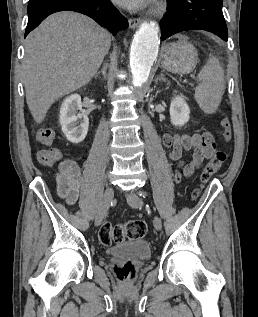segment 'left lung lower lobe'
I'll return each mask as SVG.
<instances>
[{
    "label": "left lung lower lobe",
    "instance_id": "1",
    "mask_svg": "<svg viewBox=\"0 0 258 317\" xmlns=\"http://www.w3.org/2000/svg\"><path fill=\"white\" fill-rule=\"evenodd\" d=\"M167 12L160 21L161 40L186 30H205L227 41L222 0H167Z\"/></svg>",
    "mask_w": 258,
    "mask_h": 317
}]
</instances>
